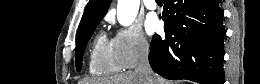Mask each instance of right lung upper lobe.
<instances>
[{
  "mask_svg": "<svg viewBox=\"0 0 260 84\" xmlns=\"http://www.w3.org/2000/svg\"><path fill=\"white\" fill-rule=\"evenodd\" d=\"M111 0H90L87 4L84 14L82 16L78 35H80L84 30H86L90 25L97 21H101L104 15L107 13L108 7Z\"/></svg>",
  "mask_w": 260,
  "mask_h": 84,
  "instance_id": "right-lung-upper-lobe-1",
  "label": "right lung upper lobe"
}]
</instances>
